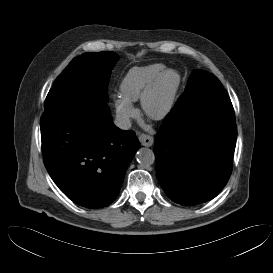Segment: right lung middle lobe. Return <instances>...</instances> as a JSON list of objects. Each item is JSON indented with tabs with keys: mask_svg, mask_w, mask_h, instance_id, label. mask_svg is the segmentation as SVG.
I'll return each instance as SVG.
<instances>
[{
	"mask_svg": "<svg viewBox=\"0 0 273 273\" xmlns=\"http://www.w3.org/2000/svg\"><path fill=\"white\" fill-rule=\"evenodd\" d=\"M118 58L114 52L84 53L74 58L54 82L44 109L58 101L84 94L107 102L111 69Z\"/></svg>",
	"mask_w": 273,
	"mask_h": 273,
	"instance_id": "obj_1",
	"label": "right lung middle lobe"
}]
</instances>
